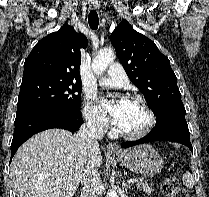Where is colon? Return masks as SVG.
<instances>
[{
	"mask_svg": "<svg viewBox=\"0 0 209 197\" xmlns=\"http://www.w3.org/2000/svg\"><path fill=\"white\" fill-rule=\"evenodd\" d=\"M162 192L166 197H190L189 194L180 186L177 179L167 177L162 183Z\"/></svg>",
	"mask_w": 209,
	"mask_h": 197,
	"instance_id": "obj_1",
	"label": "colon"
}]
</instances>
